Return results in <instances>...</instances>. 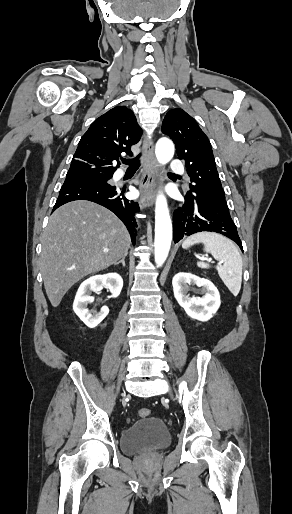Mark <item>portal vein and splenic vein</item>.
Wrapping results in <instances>:
<instances>
[{"label": "portal vein and splenic vein", "mask_w": 292, "mask_h": 514, "mask_svg": "<svg viewBox=\"0 0 292 514\" xmlns=\"http://www.w3.org/2000/svg\"><path fill=\"white\" fill-rule=\"evenodd\" d=\"M103 252H108V250H103ZM210 262V260H209ZM220 264H222V262H219L218 266H220Z\"/></svg>", "instance_id": "obj_1"}]
</instances>
